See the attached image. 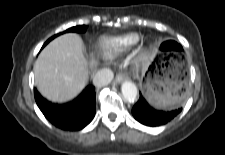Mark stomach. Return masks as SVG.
<instances>
[{
	"label": "stomach",
	"instance_id": "0dacf381",
	"mask_svg": "<svg viewBox=\"0 0 225 155\" xmlns=\"http://www.w3.org/2000/svg\"><path fill=\"white\" fill-rule=\"evenodd\" d=\"M156 55L153 54L143 66L141 88L149 102L156 106L177 104L185 98L188 82L180 69L163 65Z\"/></svg>",
	"mask_w": 225,
	"mask_h": 155
}]
</instances>
